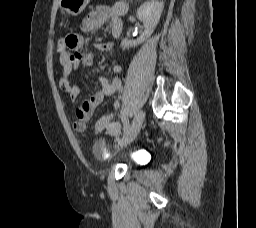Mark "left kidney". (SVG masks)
Here are the masks:
<instances>
[{"instance_id": "5707ae66", "label": "left kidney", "mask_w": 256, "mask_h": 228, "mask_svg": "<svg viewBox=\"0 0 256 228\" xmlns=\"http://www.w3.org/2000/svg\"><path fill=\"white\" fill-rule=\"evenodd\" d=\"M163 8L164 3L159 0H150L143 3L137 10V17L144 24V32L137 40L123 39L121 42L122 49L135 47L148 39L160 21Z\"/></svg>"}]
</instances>
